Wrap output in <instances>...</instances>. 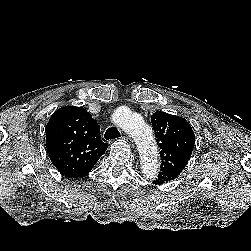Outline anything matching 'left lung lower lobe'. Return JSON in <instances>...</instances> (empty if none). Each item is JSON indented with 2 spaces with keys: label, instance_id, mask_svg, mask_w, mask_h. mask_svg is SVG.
Segmentation results:
<instances>
[{
  "label": "left lung lower lobe",
  "instance_id": "0a47b994",
  "mask_svg": "<svg viewBox=\"0 0 251 251\" xmlns=\"http://www.w3.org/2000/svg\"><path fill=\"white\" fill-rule=\"evenodd\" d=\"M155 184H163L158 178L156 179V181H154ZM165 183V182H164Z\"/></svg>",
  "mask_w": 251,
  "mask_h": 251
}]
</instances>
